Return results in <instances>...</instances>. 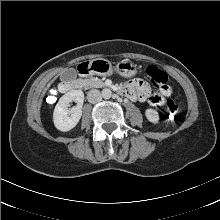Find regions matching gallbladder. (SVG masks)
I'll return each mask as SVG.
<instances>
[{
    "label": "gallbladder",
    "mask_w": 220,
    "mask_h": 220,
    "mask_svg": "<svg viewBox=\"0 0 220 220\" xmlns=\"http://www.w3.org/2000/svg\"><path fill=\"white\" fill-rule=\"evenodd\" d=\"M64 77L69 76L71 79H74L76 77V70L75 69H69L63 74Z\"/></svg>",
    "instance_id": "bac80fb5"
}]
</instances>
